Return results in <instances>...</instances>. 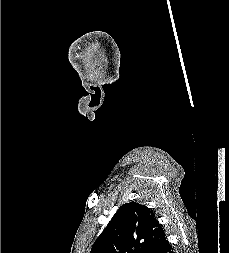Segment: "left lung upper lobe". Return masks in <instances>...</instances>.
<instances>
[{
	"label": "left lung upper lobe",
	"mask_w": 229,
	"mask_h": 253,
	"mask_svg": "<svg viewBox=\"0 0 229 253\" xmlns=\"http://www.w3.org/2000/svg\"><path fill=\"white\" fill-rule=\"evenodd\" d=\"M165 237L150 208L129 202L117 210L90 253H155Z\"/></svg>",
	"instance_id": "1"
}]
</instances>
